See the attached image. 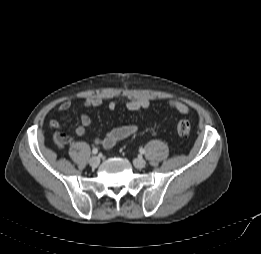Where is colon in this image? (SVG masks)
I'll return each instance as SVG.
<instances>
[{"label": "colon", "mask_w": 261, "mask_h": 254, "mask_svg": "<svg viewBox=\"0 0 261 254\" xmlns=\"http://www.w3.org/2000/svg\"><path fill=\"white\" fill-rule=\"evenodd\" d=\"M177 131L183 137H188L191 133V125L188 120H180L177 124Z\"/></svg>", "instance_id": "1"}]
</instances>
